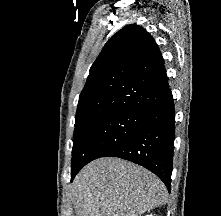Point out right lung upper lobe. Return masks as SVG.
<instances>
[{"mask_svg": "<svg viewBox=\"0 0 221 216\" xmlns=\"http://www.w3.org/2000/svg\"><path fill=\"white\" fill-rule=\"evenodd\" d=\"M169 91L163 58L153 37L127 25L105 44L79 96L76 124L110 112H147Z\"/></svg>", "mask_w": 221, "mask_h": 216, "instance_id": "1", "label": "right lung upper lobe"}]
</instances>
